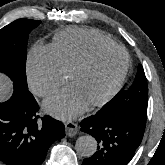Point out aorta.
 Returning <instances> with one entry per match:
<instances>
[{"mask_svg":"<svg viewBox=\"0 0 165 165\" xmlns=\"http://www.w3.org/2000/svg\"><path fill=\"white\" fill-rule=\"evenodd\" d=\"M76 151L84 157H91L97 150V141L93 136L84 135L77 139Z\"/></svg>","mask_w":165,"mask_h":165,"instance_id":"762f6f07","label":"aorta"}]
</instances>
